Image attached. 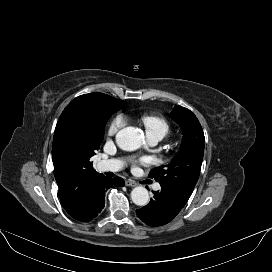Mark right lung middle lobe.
<instances>
[{
	"mask_svg": "<svg viewBox=\"0 0 272 272\" xmlns=\"http://www.w3.org/2000/svg\"><path fill=\"white\" fill-rule=\"evenodd\" d=\"M124 105L116 102L113 97H108L97 111L78 130L71 134V146L82 155L87 163L92 164L91 157L95 155L100 147L104 138L106 122L113 113L123 108Z\"/></svg>",
	"mask_w": 272,
	"mask_h": 272,
	"instance_id": "dd1d6c3e",
	"label": "right lung middle lobe"
}]
</instances>
